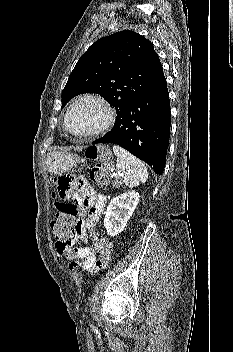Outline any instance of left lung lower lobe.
Listing matches in <instances>:
<instances>
[{
    "mask_svg": "<svg viewBox=\"0 0 233 352\" xmlns=\"http://www.w3.org/2000/svg\"><path fill=\"white\" fill-rule=\"evenodd\" d=\"M170 136V101L163 75L117 116L114 127L93 143L117 144L162 174Z\"/></svg>",
    "mask_w": 233,
    "mask_h": 352,
    "instance_id": "0a47b994",
    "label": "left lung lower lobe"
}]
</instances>
